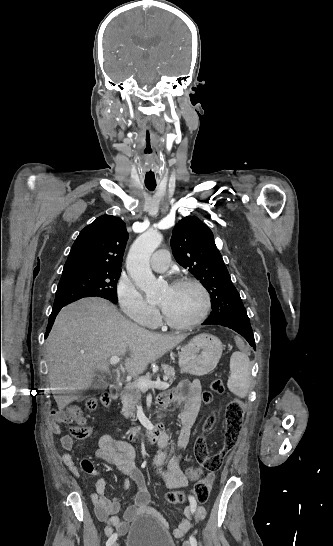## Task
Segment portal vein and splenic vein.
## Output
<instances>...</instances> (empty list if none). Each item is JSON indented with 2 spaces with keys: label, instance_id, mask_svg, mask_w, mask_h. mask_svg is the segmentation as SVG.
<instances>
[{
  "label": "portal vein and splenic vein",
  "instance_id": "obj_1",
  "mask_svg": "<svg viewBox=\"0 0 333 546\" xmlns=\"http://www.w3.org/2000/svg\"><path fill=\"white\" fill-rule=\"evenodd\" d=\"M81 352L83 353V351H81ZM119 362H120V357L119 356H112L109 359V364L110 365H116ZM137 386L141 390H148L149 388L167 389L169 387V384L167 382H165V381H160V380L150 381V380H146V379H140L137 382Z\"/></svg>",
  "mask_w": 333,
  "mask_h": 546
}]
</instances>
